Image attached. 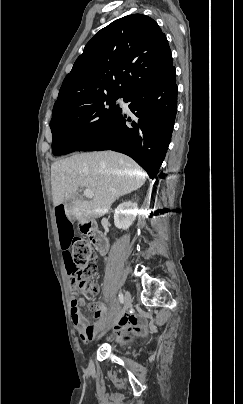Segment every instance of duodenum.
Instances as JSON below:
<instances>
[{
    "mask_svg": "<svg viewBox=\"0 0 243 404\" xmlns=\"http://www.w3.org/2000/svg\"><path fill=\"white\" fill-rule=\"evenodd\" d=\"M81 231L91 240L101 255H105L108 249L106 236L97 228L92 221H87L81 226Z\"/></svg>",
    "mask_w": 243,
    "mask_h": 404,
    "instance_id": "obj_1",
    "label": "duodenum"
}]
</instances>
